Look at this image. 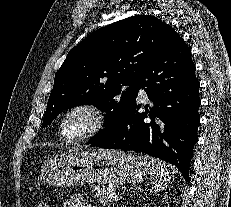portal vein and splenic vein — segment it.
Segmentation results:
<instances>
[{"mask_svg":"<svg viewBox=\"0 0 231 207\" xmlns=\"http://www.w3.org/2000/svg\"><path fill=\"white\" fill-rule=\"evenodd\" d=\"M118 196L115 197V200H117Z\"/></svg>","mask_w":231,"mask_h":207,"instance_id":"1","label":"portal vein and splenic vein"}]
</instances>
